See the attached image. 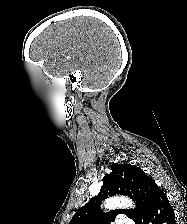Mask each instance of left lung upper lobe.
<instances>
[{"label": "left lung upper lobe", "mask_w": 187, "mask_h": 224, "mask_svg": "<svg viewBox=\"0 0 187 224\" xmlns=\"http://www.w3.org/2000/svg\"><path fill=\"white\" fill-rule=\"evenodd\" d=\"M111 173L103 178L99 194L90 199L72 217L69 224H109L117 214H125L137 223L148 212L155 194L160 189L145 172L130 164L111 167ZM127 195L136 202L137 210L116 209L108 213L100 209V202L108 196Z\"/></svg>", "instance_id": "left-lung-upper-lobe-1"}]
</instances>
